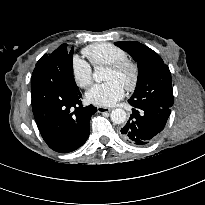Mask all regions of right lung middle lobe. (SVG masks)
<instances>
[{
  "mask_svg": "<svg viewBox=\"0 0 205 205\" xmlns=\"http://www.w3.org/2000/svg\"><path fill=\"white\" fill-rule=\"evenodd\" d=\"M67 46V45H65ZM49 55L45 54L43 57H41V59L37 62L36 67L39 66L40 64H42L43 62H45L47 60Z\"/></svg>",
  "mask_w": 205,
  "mask_h": 205,
  "instance_id": "obj_1",
  "label": "right lung middle lobe"
}]
</instances>
